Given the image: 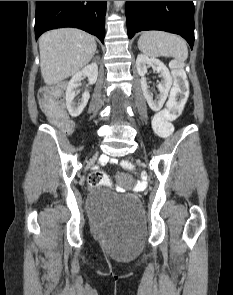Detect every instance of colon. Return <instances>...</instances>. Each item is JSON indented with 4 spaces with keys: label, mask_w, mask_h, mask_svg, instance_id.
Listing matches in <instances>:
<instances>
[{
    "label": "colon",
    "mask_w": 233,
    "mask_h": 295,
    "mask_svg": "<svg viewBox=\"0 0 233 295\" xmlns=\"http://www.w3.org/2000/svg\"><path fill=\"white\" fill-rule=\"evenodd\" d=\"M172 73L174 83L167 106L158 111L153 119V126L156 133L163 138H169L173 135L172 122L181 114L189 95V83L182 65L176 61L173 62ZM64 89V84H56L44 89L40 94V105L44 113L53 123L64 131L70 132L73 124L62 102ZM121 165L129 171L136 170L135 165L128 160H123ZM88 185L89 187H110L111 182L104 172L96 170L90 173Z\"/></svg>",
    "instance_id": "colon-1"
}]
</instances>
